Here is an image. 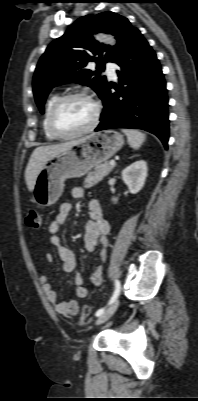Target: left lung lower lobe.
<instances>
[{
	"label": "left lung lower lobe",
	"instance_id": "0a47b994",
	"mask_svg": "<svg viewBox=\"0 0 198 401\" xmlns=\"http://www.w3.org/2000/svg\"><path fill=\"white\" fill-rule=\"evenodd\" d=\"M119 84L107 83L101 99L104 109L95 131L137 128L155 134L167 149L169 138L166 83L155 52L138 29L115 60Z\"/></svg>",
	"mask_w": 198,
	"mask_h": 401
}]
</instances>
